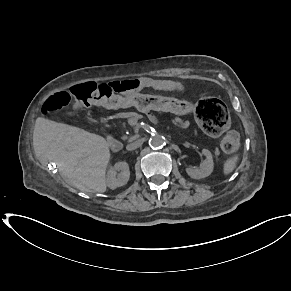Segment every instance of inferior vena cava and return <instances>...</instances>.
Masks as SVG:
<instances>
[{
  "instance_id": "inferior-vena-cava-1",
  "label": "inferior vena cava",
  "mask_w": 291,
  "mask_h": 291,
  "mask_svg": "<svg viewBox=\"0 0 291 291\" xmlns=\"http://www.w3.org/2000/svg\"><path fill=\"white\" fill-rule=\"evenodd\" d=\"M142 144H143V140L142 139H139V140H136V141L128 144L126 146V149L128 151H132V150H135V149L139 148Z\"/></svg>"
}]
</instances>
